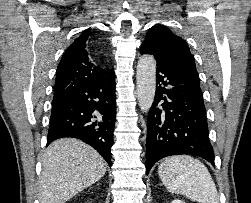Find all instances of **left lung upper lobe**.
Masks as SVG:
<instances>
[{
  "label": "left lung upper lobe",
  "mask_w": 251,
  "mask_h": 203,
  "mask_svg": "<svg viewBox=\"0 0 251 203\" xmlns=\"http://www.w3.org/2000/svg\"><path fill=\"white\" fill-rule=\"evenodd\" d=\"M142 47L147 48L157 58L180 65L191 76L199 80L194 58L187 43L165 26L156 24L150 28Z\"/></svg>",
  "instance_id": "1"
}]
</instances>
